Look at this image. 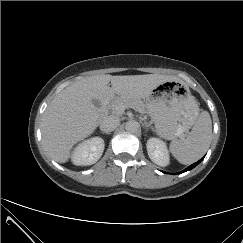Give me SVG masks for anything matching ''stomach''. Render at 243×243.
Listing matches in <instances>:
<instances>
[{
  "mask_svg": "<svg viewBox=\"0 0 243 243\" xmlns=\"http://www.w3.org/2000/svg\"><path fill=\"white\" fill-rule=\"evenodd\" d=\"M170 82L152 91L146 98V108L158 135L173 140L191 128L199 110L187 86Z\"/></svg>",
  "mask_w": 243,
  "mask_h": 243,
  "instance_id": "stomach-1",
  "label": "stomach"
}]
</instances>
